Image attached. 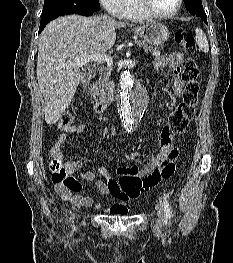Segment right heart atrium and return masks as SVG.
Returning <instances> with one entry per match:
<instances>
[{
  "instance_id": "d8ad5b80",
  "label": "right heart atrium",
  "mask_w": 233,
  "mask_h": 263,
  "mask_svg": "<svg viewBox=\"0 0 233 263\" xmlns=\"http://www.w3.org/2000/svg\"><path fill=\"white\" fill-rule=\"evenodd\" d=\"M102 6L112 14H117L123 0H99Z\"/></svg>"
}]
</instances>
